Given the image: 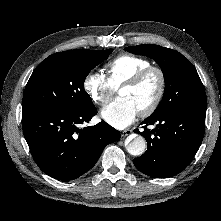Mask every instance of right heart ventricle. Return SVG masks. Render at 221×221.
Returning <instances> with one entry per match:
<instances>
[{
    "label": "right heart ventricle",
    "mask_w": 221,
    "mask_h": 221,
    "mask_svg": "<svg viewBox=\"0 0 221 221\" xmlns=\"http://www.w3.org/2000/svg\"><path fill=\"white\" fill-rule=\"evenodd\" d=\"M150 65V61L145 58L134 55H120L106 65V77L114 88H118L136 72Z\"/></svg>",
    "instance_id": "obj_1"
}]
</instances>
